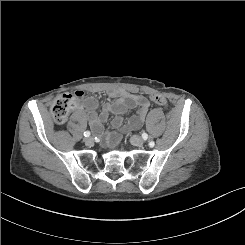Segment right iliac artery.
Segmentation results:
<instances>
[{"instance_id": "obj_1", "label": "right iliac artery", "mask_w": 245, "mask_h": 245, "mask_svg": "<svg viewBox=\"0 0 245 245\" xmlns=\"http://www.w3.org/2000/svg\"><path fill=\"white\" fill-rule=\"evenodd\" d=\"M84 136H85V137H89V136H90V132H89V131H85V132H84Z\"/></svg>"}]
</instances>
